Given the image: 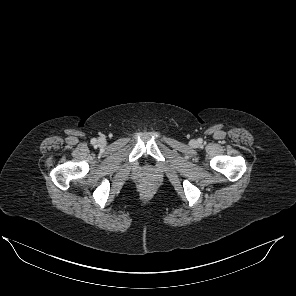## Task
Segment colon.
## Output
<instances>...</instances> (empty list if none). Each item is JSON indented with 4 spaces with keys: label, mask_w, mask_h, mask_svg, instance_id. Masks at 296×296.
<instances>
[{
    "label": "colon",
    "mask_w": 296,
    "mask_h": 296,
    "mask_svg": "<svg viewBox=\"0 0 296 296\" xmlns=\"http://www.w3.org/2000/svg\"><path fill=\"white\" fill-rule=\"evenodd\" d=\"M153 190V185L150 183H145L142 185V191L144 193H150Z\"/></svg>",
    "instance_id": "colon-1"
}]
</instances>
